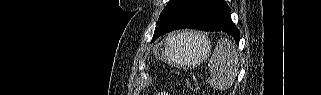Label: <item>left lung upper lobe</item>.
Returning a JSON list of instances; mask_svg holds the SVG:
<instances>
[{"instance_id": "obj_1", "label": "left lung upper lobe", "mask_w": 321, "mask_h": 95, "mask_svg": "<svg viewBox=\"0 0 321 95\" xmlns=\"http://www.w3.org/2000/svg\"><path fill=\"white\" fill-rule=\"evenodd\" d=\"M172 1H173V0H170V2L167 4V6L164 8V10L161 12V15H160V17H159V20H158V22H157V25H158L160 19L162 18V16L165 14V12L167 11V9H168L169 6L171 5Z\"/></svg>"}]
</instances>
